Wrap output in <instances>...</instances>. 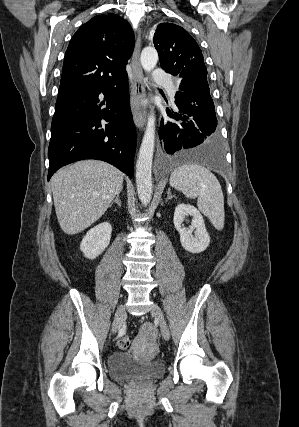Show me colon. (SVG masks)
Returning a JSON list of instances; mask_svg holds the SVG:
<instances>
[{
  "instance_id": "1",
  "label": "colon",
  "mask_w": 299,
  "mask_h": 427,
  "mask_svg": "<svg viewBox=\"0 0 299 427\" xmlns=\"http://www.w3.org/2000/svg\"><path fill=\"white\" fill-rule=\"evenodd\" d=\"M130 338L128 336H122L118 340V346L120 349L126 350L130 347Z\"/></svg>"
}]
</instances>
